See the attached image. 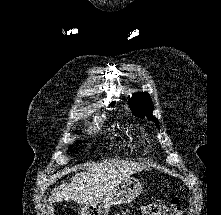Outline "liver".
<instances>
[{"label":"liver","instance_id":"6515ba94","mask_svg":"<svg viewBox=\"0 0 221 215\" xmlns=\"http://www.w3.org/2000/svg\"><path fill=\"white\" fill-rule=\"evenodd\" d=\"M144 168V164L117 159L91 164L84 172L75 176L71 184H62L55 188L48 201L50 204L64 200L83 205L96 203L123 179Z\"/></svg>","mask_w":221,"mask_h":215}]
</instances>
